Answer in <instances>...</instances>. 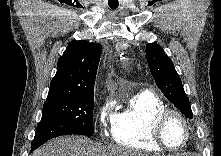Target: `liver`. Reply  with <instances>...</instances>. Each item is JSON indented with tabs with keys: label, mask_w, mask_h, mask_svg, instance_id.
Instances as JSON below:
<instances>
[{
	"label": "liver",
	"mask_w": 221,
	"mask_h": 156,
	"mask_svg": "<svg viewBox=\"0 0 221 156\" xmlns=\"http://www.w3.org/2000/svg\"><path fill=\"white\" fill-rule=\"evenodd\" d=\"M33 156H146L117 146H100L82 136H62L45 143Z\"/></svg>",
	"instance_id": "liver-1"
}]
</instances>
